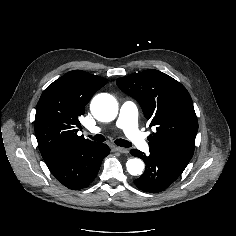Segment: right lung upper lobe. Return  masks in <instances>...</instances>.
<instances>
[{"label":"right lung upper lobe","instance_id":"right-lung-upper-lobe-1","mask_svg":"<svg viewBox=\"0 0 236 236\" xmlns=\"http://www.w3.org/2000/svg\"><path fill=\"white\" fill-rule=\"evenodd\" d=\"M108 82L100 76L73 70L60 77L42 93L34 122L38 147L44 160L74 144L91 141L78 136V118L92 96Z\"/></svg>","mask_w":236,"mask_h":236}]
</instances>
